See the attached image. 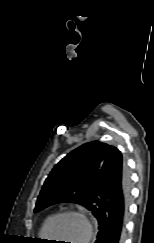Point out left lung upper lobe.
I'll list each match as a JSON object with an SVG mask.
<instances>
[{
  "mask_svg": "<svg viewBox=\"0 0 154 243\" xmlns=\"http://www.w3.org/2000/svg\"><path fill=\"white\" fill-rule=\"evenodd\" d=\"M112 148L108 144L93 141L67 154L46 179L34 212L56 203L70 202L82 205L96 217L97 199L92 189Z\"/></svg>",
  "mask_w": 154,
  "mask_h": 243,
  "instance_id": "obj_1",
  "label": "left lung upper lobe"
}]
</instances>
